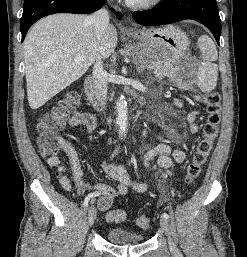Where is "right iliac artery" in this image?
<instances>
[{
    "mask_svg": "<svg viewBox=\"0 0 247 257\" xmlns=\"http://www.w3.org/2000/svg\"><path fill=\"white\" fill-rule=\"evenodd\" d=\"M117 152H118V150L116 149V150L114 151V153L112 154V158L117 154ZM94 196H96V195H94L93 193H91V194H88V195L85 197V199H84V207H85V209H87V207H88V202H89V200H90L92 197H94Z\"/></svg>",
    "mask_w": 247,
    "mask_h": 257,
    "instance_id": "82829eb1",
    "label": "right iliac artery"
}]
</instances>
